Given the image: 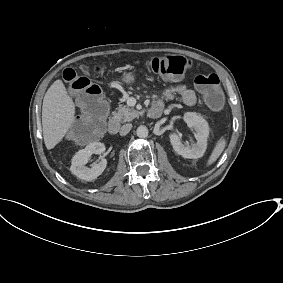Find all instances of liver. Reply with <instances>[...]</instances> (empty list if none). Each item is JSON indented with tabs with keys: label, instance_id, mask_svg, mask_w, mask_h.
Listing matches in <instances>:
<instances>
[{
	"label": "liver",
	"instance_id": "liver-1",
	"mask_svg": "<svg viewBox=\"0 0 283 283\" xmlns=\"http://www.w3.org/2000/svg\"><path fill=\"white\" fill-rule=\"evenodd\" d=\"M75 105L61 80L47 90L42 106L43 137L48 150L54 148L74 122Z\"/></svg>",
	"mask_w": 283,
	"mask_h": 283
}]
</instances>
